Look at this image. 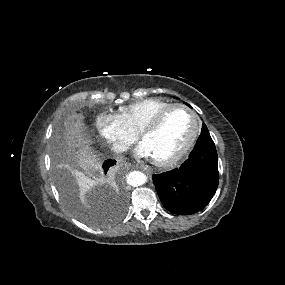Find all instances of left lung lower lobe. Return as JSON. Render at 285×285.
I'll return each instance as SVG.
<instances>
[{
    "mask_svg": "<svg viewBox=\"0 0 285 285\" xmlns=\"http://www.w3.org/2000/svg\"><path fill=\"white\" fill-rule=\"evenodd\" d=\"M153 182L168 211L188 215L202 210L219 183L218 156L209 132L201 133L189 158L179 168L153 175Z\"/></svg>",
    "mask_w": 285,
    "mask_h": 285,
    "instance_id": "obj_1",
    "label": "left lung lower lobe"
}]
</instances>
